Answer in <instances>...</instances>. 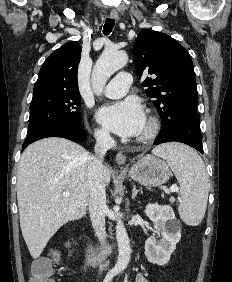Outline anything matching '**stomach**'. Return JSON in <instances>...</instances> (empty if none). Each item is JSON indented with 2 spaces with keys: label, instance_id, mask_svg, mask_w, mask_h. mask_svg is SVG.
Segmentation results:
<instances>
[{
  "label": "stomach",
  "instance_id": "obj_1",
  "mask_svg": "<svg viewBox=\"0 0 232 282\" xmlns=\"http://www.w3.org/2000/svg\"><path fill=\"white\" fill-rule=\"evenodd\" d=\"M129 176L136 182L150 187L166 183L171 175L167 163L154 155H145L128 170Z\"/></svg>",
  "mask_w": 232,
  "mask_h": 282
}]
</instances>
